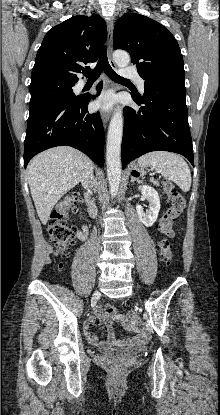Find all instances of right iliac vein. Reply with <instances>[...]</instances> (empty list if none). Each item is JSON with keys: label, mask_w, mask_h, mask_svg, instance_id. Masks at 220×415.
<instances>
[{"label": "right iliac vein", "mask_w": 220, "mask_h": 415, "mask_svg": "<svg viewBox=\"0 0 220 415\" xmlns=\"http://www.w3.org/2000/svg\"><path fill=\"white\" fill-rule=\"evenodd\" d=\"M100 297V292L98 290H95L91 299V305L92 307H94L97 303V300Z\"/></svg>", "instance_id": "obj_1"}]
</instances>
